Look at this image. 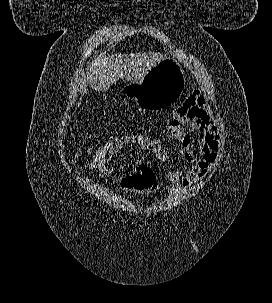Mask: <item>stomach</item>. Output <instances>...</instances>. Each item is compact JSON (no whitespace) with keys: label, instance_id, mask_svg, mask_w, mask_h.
<instances>
[{"label":"stomach","instance_id":"1","mask_svg":"<svg viewBox=\"0 0 272 303\" xmlns=\"http://www.w3.org/2000/svg\"><path fill=\"white\" fill-rule=\"evenodd\" d=\"M185 76L176 59L165 57L141 80L123 88V94L133 98L144 110H158L170 105L183 93Z\"/></svg>","mask_w":272,"mask_h":303}]
</instances>
